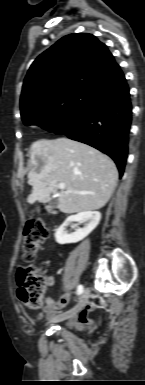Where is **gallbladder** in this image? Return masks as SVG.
Returning a JSON list of instances; mask_svg holds the SVG:
<instances>
[{
  "label": "gallbladder",
  "instance_id": "bac80fb5",
  "mask_svg": "<svg viewBox=\"0 0 145 385\" xmlns=\"http://www.w3.org/2000/svg\"><path fill=\"white\" fill-rule=\"evenodd\" d=\"M57 205H58V200L56 198H53V199L50 200L49 207L56 208Z\"/></svg>",
  "mask_w": 145,
  "mask_h": 385
}]
</instances>
